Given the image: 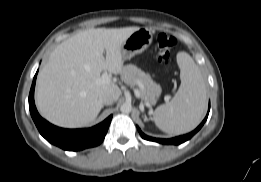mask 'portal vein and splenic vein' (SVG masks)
I'll return each mask as SVG.
<instances>
[{
	"label": "portal vein and splenic vein",
	"instance_id": "portal-vein-and-splenic-vein-1",
	"mask_svg": "<svg viewBox=\"0 0 261 182\" xmlns=\"http://www.w3.org/2000/svg\"><path fill=\"white\" fill-rule=\"evenodd\" d=\"M111 81L110 75L107 72H104L101 76V78L98 80L100 84H108ZM134 93L136 97L140 98L142 96V93L139 89H135ZM147 106H150L149 103L146 104Z\"/></svg>",
	"mask_w": 261,
	"mask_h": 182
}]
</instances>
